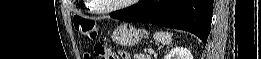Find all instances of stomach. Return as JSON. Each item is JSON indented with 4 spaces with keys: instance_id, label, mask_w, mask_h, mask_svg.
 Here are the masks:
<instances>
[{
    "instance_id": "1",
    "label": "stomach",
    "mask_w": 261,
    "mask_h": 59,
    "mask_svg": "<svg viewBox=\"0 0 261 59\" xmlns=\"http://www.w3.org/2000/svg\"><path fill=\"white\" fill-rule=\"evenodd\" d=\"M148 37V32L137 29L130 24L124 23L117 26L112 32V40L121 46H134L138 44L142 38Z\"/></svg>"
}]
</instances>
